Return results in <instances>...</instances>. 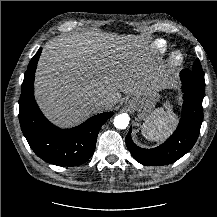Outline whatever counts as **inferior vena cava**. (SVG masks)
<instances>
[{"label": "inferior vena cava", "instance_id": "602c4592", "mask_svg": "<svg viewBox=\"0 0 217 217\" xmlns=\"http://www.w3.org/2000/svg\"><path fill=\"white\" fill-rule=\"evenodd\" d=\"M109 103L107 99H94L89 103L92 112H100L104 110L105 106Z\"/></svg>", "mask_w": 217, "mask_h": 217}]
</instances>
